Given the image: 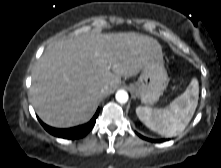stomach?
Segmentation results:
<instances>
[{
	"label": "stomach",
	"instance_id": "obj_1",
	"mask_svg": "<svg viewBox=\"0 0 221 168\" xmlns=\"http://www.w3.org/2000/svg\"><path fill=\"white\" fill-rule=\"evenodd\" d=\"M168 82L163 58L153 57L145 63L138 80L130 85V89L143 104L152 105L159 100Z\"/></svg>",
	"mask_w": 221,
	"mask_h": 168
}]
</instances>
